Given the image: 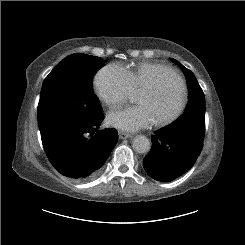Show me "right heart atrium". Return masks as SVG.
<instances>
[{
  "label": "right heart atrium",
  "mask_w": 245,
  "mask_h": 245,
  "mask_svg": "<svg viewBox=\"0 0 245 245\" xmlns=\"http://www.w3.org/2000/svg\"><path fill=\"white\" fill-rule=\"evenodd\" d=\"M93 85L100 100L109 106L123 103L134 93L127 70L115 63L99 69Z\"/></svg>",
  "instance_id": "1"
}]
</instances>
